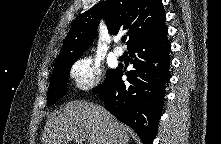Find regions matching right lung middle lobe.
<instances>
[{
    "label": "right lung middle lobe",
    "mask_w": 221,
    "mask_h": 144,
    "mask_svg": "<svg viewBox=\"0 0 221 144\" xmlns=\"http://www.w3.org/2000/svg\"><path fill=\"white\" fill-rule=\"evenodd\" d=\"M74 62L75 61L67 62L54 67L47 94V103L49 106L66 94L67 81L70 75L71 66ZM112 71L113 70H109L106 73V78Z\"/></svg>",
    "instance_id": "dd1d6c3e"
}]
</instances>
